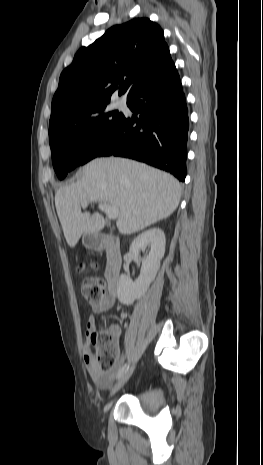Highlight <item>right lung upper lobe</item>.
<instances>
[{"label": "right lung upper lobe", "instance_id": "1", "mask_svg": "<svg viewBox=\"0 0 263 465\" xmlns=\"http://www.w3.org/2000/svg\"><path fill=\"white\" fill-rule=\"evenodd\" d=\"M174 63L161 27L148 18L115 25L76 53L60 75L50 123L67 113L135 91L167 73Z\"/></svg>", "mask_w": 263, "mask_h": 465}]
</instances>
